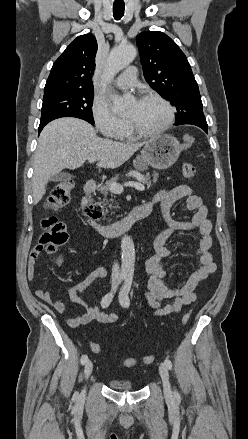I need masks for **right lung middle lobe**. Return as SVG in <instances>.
<instances>
[{
    "label": "right lung middle lobe",
    "mask_w": 248,
    "mask_h": 439,
    "mask_svg": "<svg viewBox=\"0 0 248 439\" xmlns=\"http://www.w3.org/2000/svg\"><path fill=\"white\" fill-rule=\"evenodd\" d=\"M93 89H77L44 95L40 123L60 117H77L94 124Z\"/></svg>",
    "instance_id": "right-lung-middle-lobe-1"
}]
</instances>
